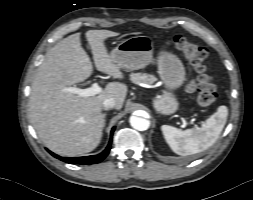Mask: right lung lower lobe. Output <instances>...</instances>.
<instances>
[{"mask_svg":"<svg viewBox=\"0 0 253 200\" xmlns=\"http://www.w3.org/2000/svg\"><path fill=\"white\" fill-rule=\"evenodd\" d=\"M115 130V127L112 128L111 130V135L113 134ZM111 143L112 140L109 141L108 146L106 147V149L101 152L98 155H94V156H85V157H70V158H63L60 157L54 153H52L51 151H49L54 157L67 162V163H71V164H94V163H99L100 161H102L109 153L110 149H111Z\"/></svg>","mask_w":253,"mask_h":200,"instance_id":"obj_1","label":"right lung lower lobe"}]
</instances>
